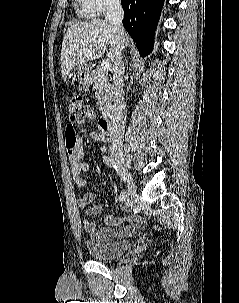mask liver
<instances>
[{
  "instance_id": "6515ba94",
  "label": "liver",
  "mask_w": 239,
  "mask_h": 303,
  "mask_svg": "<svg viewBox=\"0 0 239 303\" xmlns=\"http://www.w3.org/2000/svg\"><path fill=\"white\" fill-rule=\"evenodd\" d=\"M116 32L113 25L106 20L76 22L66 31L61 48V73L66 80L69 72L88 61L99 59L106 51L114 60L116 52ZM129 45L126 35L124 47Z\"/></svg>"
}]
</instances>
